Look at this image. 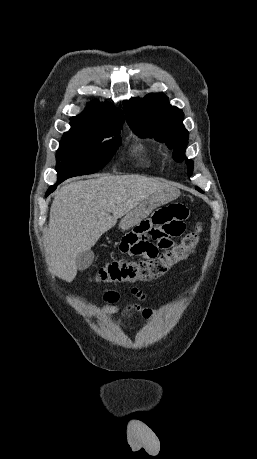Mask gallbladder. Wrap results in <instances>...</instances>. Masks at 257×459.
I'll use <instances>...</instances> for the list:
<instances>
[{
    "instance_id": "gallbladder-1",
    "label": "gallbladder",
    "mask_w": 257,
    "mask_h": 459,
    "mask_svg": "<svg viewBox=\"0 0 257 459\" xmlns=\"http://www.w3.org/2000/svg\"><path fill=\"white\" fill-rule=\"evenodd\" d=\"M94 260V253L92 250H87L85 252L80 253L76 257V265L79 270L87 269Z\"/></svg>"
}]
</instances>
